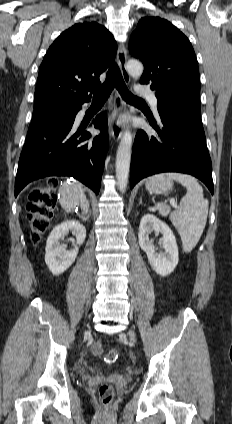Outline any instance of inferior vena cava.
Segmentation results:
<instances>
[{
  "instance_id": "602c4592",
  "label": "inferior vena cava",
  "mask_w": 232,
  "mask_h": 424,
  "mask_svg": "<svg viewBox=\"0 0 232 424\" xmlns=\"http://www.w3.org/2000/svg\"><path fill=\"white\" fill-rule=\"evenodd\" d=\"M80 205H81V208L83 209V211L84 212H87V210H88V202L86 201V197L85 196H81Z\"/></svg>"
}]
</instances>
